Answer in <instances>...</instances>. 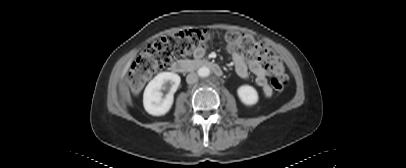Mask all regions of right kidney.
Segmentation results:
<instances>
[{"label":"right kidney","mask_w":406,"mask_h":168,"mask_svg":"<svg viewBox=\"0 0 406 168\" xmlns=\"http://www.w3.org/2000/svg\"><path fill=\"white\" fill-rule=\"evenodd\" d=\"M180 81V77L175 73L162 72L158 74L145 88L143 95L145 110L153 116L165 115L172 107L174 101L173 95ZM167 83L171 85L170 92L163 98L161 88Z\"/></svg>","instance_id":"obj_1"}]
</instances>
